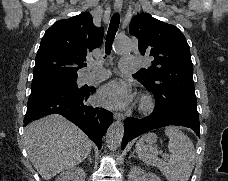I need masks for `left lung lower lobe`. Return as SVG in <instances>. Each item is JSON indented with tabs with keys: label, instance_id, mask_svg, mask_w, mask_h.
<instances>
[{
	"label": "left lung lower lobe",
	"instance_id": "0a47b994",
	"mask_svg": "<svg viewBox=\"0 0 228 181\" xmlns=\"http://www.w3.org/2000/svg\"><path fill=\"white\" fill-rule=\"evenodd\" d=\"M168 125L185 126L199 134L198 113L187 107L163 109L156 101L155 109L148 117L143 119L128 117L125 119L121 148L124 149L130 140L145 132Z\"/></svg>",
	"mask_w": 228,
	"mask_h": 181
}]
</instances>
